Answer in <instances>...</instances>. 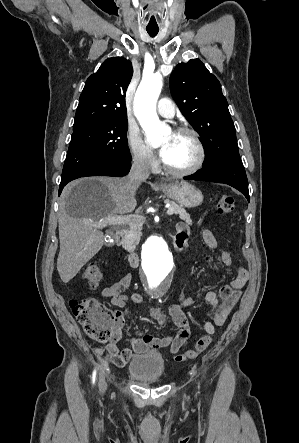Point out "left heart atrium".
<instances>
[{"mask_svg":"<svg viewBox=\"0 0 299 443\" xmlns=\"http://www.w3.org/2000/svg\"><path fill=\"white\" fill-rule=\"evenodd\" d=\"M160 156L161 158L164 156V149H160Z\"/></svg>","mask_w":299,"mask_h":443,"instance_id":"left-heart-atrium-1","label":"left heart atrium"}]
</instances>
